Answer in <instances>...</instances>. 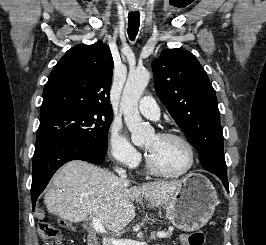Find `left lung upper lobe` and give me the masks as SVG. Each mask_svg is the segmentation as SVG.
Here are the masks:
<instances>
[{
	"label": "left lung upper lobe",
	"instance_id": "1",
	"mask_svg": "<svg viewBox=\"0 0 266 245\" xmlns=\"http://www.w3.org/2000/svg\"><path fill=\"white\" fill-rule=\"evenodd\" d=\"M152 70L158 97L197 149L202 166L227 175L216 93L196 57L184 49H166Z\"/></svg>",
	"mask_w": 266,
	"mask_h": 245
}]
</instances>
